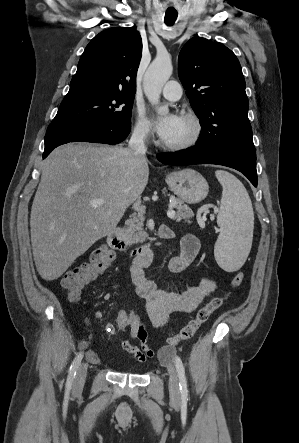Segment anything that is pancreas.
<instances>
[{
    "instance_id": "1",
    "label": "pancreas",
    "mask_w": 299,
    "mask_h": 443,
    "mask_svg": "<svg viewBox=\"0 0 299 443\" xmlns=\"http://www.w3.org/2000/svg\"><path fill=\"white\" fill-rule=\"evenodd\" d=\"M171 200L173 207L176 209L174 219L177 221L185 220L187 223H191L190 219L194 216L193 211L181 199L172 196ZM144 220L143 213H134L125 222L123 237L126 242L137 244L146 240L147 233L143 229Z\"/></svg>"
}]
</instances>
